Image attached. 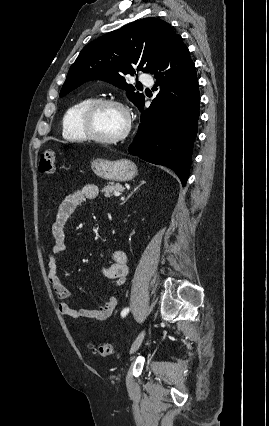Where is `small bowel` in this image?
<instances>
[{"label": "small bowel", "mask_w": 269, "mask_h": 426, "mask_svg": "<svg viewBox=\"0 0 269 426\" xmlns=\"http://www.w3.org/2000/svg\"><path fill=\"white\" fill-rule=\"evenodd\" d=\"M99 195V187L95 184L84 185L75 193L67 196L58 206L51 233L53 244L46 253L48 265V281L53 289L58 309L61 315L70 319L87 318L97 321L106 320L116 309L118 298L112 296L105 300L97 309L74 307L66 299L69 296V289L63 284L58 276L59 254L67 249L65 239V226L74 211L85 201L95 199ZM104 277L114 281L117 285H122L128 274L127 254L123 250H114L110 261L102 269Z\"/></svg>", "instance_id": "1"}]
</instances>
